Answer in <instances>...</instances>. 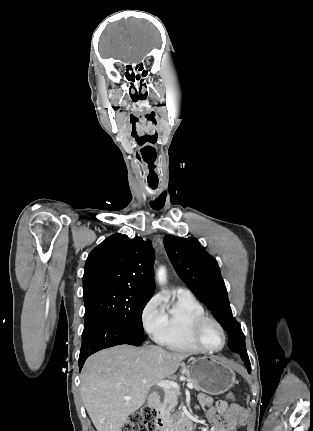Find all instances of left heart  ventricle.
<instances>
[{
  "label": "left heart ventricle",
  "instance_id": "left-heart-ventricle-1",
  "mask_svg": "<svg viewBox=\"0 0 313 431\" xmlns=\"http://www.w3.org/2000/svg\"><path fill=\"white\" fill-rule=\"evenodd\" d=\"M202 343L209 348H218L222 343V335L218 327L208 322L204 325L200 333Z\"/></svg>",
  "mask_w": 313,
  "mask_h": 431
}]
</instances>
